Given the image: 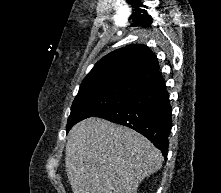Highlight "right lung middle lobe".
<instances>
[{
  "mask_svg": "<svg viewBox=\"0 0 221 193\" xmlns=\"http://www.w3.org/2000/svg\"><path fill=\"white\" fill-rule=\"evenodd\" d=\"M142 87L131 83H113L79 90L71 107L66 131L83 119L124 104L136 96Z\"/></svg>",
  "mask_w": 221,
  "mask_h": 193,
  "instance_id": "right-lung-middle-lobe-1",
  "label": "right lung middle lobe"
}]
</instances>
